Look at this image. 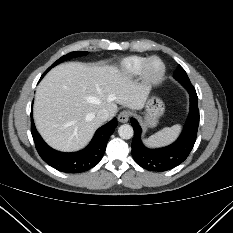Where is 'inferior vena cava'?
Returning a JSON list of instances; mask_svg holds the SVG:
<instances>
[{"label":"inferior vena cava","instance_id":"1","mask_svg":"<svg viewBox=\"0 0 233 233\" xmlns=\"http://www.w3.org/2000/svg\"><path fill=\"white\" fill-rule=\"evenodd\" d=\"M96 118L100 122H105L109 118V111L105 108L100 109L96 114Z\"/></svg>","mask_w":233,"mask_h":233}]
</instances>
